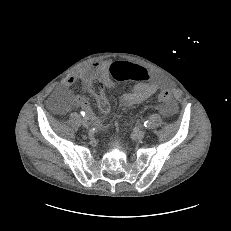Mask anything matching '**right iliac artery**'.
Segmentation results:
<instances>
[{"mask_svg": "<svg viewBox=\"0 0 231 231\" xmlns=\"http://www.w3.org/2000/svg\"><path fill=\"white\" fill-rule=\"evenodd\" d=\"M81 115L84 117V119L88 120V116L84 111H81Z\"/></svg>", "mask_w": 231, "mask_h": 231, "instance_id": "obj_1", "label": "right iliac artery"}]
</instances>
